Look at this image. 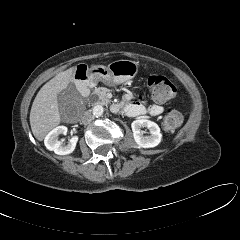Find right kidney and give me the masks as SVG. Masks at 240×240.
I'll list each match as a JSON object with an SVG mask.
<instances>
[{
    "instance_id": "right-kidney-1",
    "label": "right kidney",
    "mask_w": 240,
    "mask_h": 240,
    "mask_svg": "<svg viewBox=\"0 0 240 240\" xmlns=\"http://www.w3.org/2000/svg\"><path fill=\"white\" fill-rule=\"evenodd\" d=\"M68 128L66 126H58L48 133L45 137L44 144L46 148L50 151H54L58 155H67L74 151L78 137H72L68 144H63L58 140V136L61 134H66Z\"/></svg>"
}]
</instances>
